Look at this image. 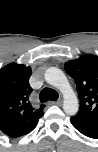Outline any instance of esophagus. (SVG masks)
Wrapping results in <instances>:
<instances>
[{
	"label": "esophagus",
	"mask_w": 98,
	"mask_h": 152,
	"mask_svg": "<svg viewBox=\"0 0 98 152\" xmlns=\"http://www.w3.org/2000/svg\"><path fill=\"white\" fill-rule=\"evenodd\" d=\"M50 104H52V105H61L62 104V100L58 99L57 101L50 102Z\"/></svg>",
	"instance_id": "1"
}]
</instances>
